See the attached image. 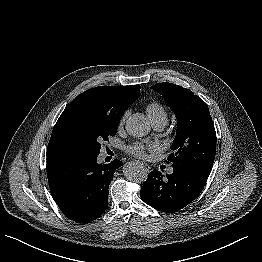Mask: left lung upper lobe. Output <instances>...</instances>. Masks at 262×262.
Listing matches in <instances>:
<instances>
[{
    "instance_id": "left-lung-upper-lobe-1",
    "label": "left lung upper lobe",
    "mask_w": 262,
    "mask_h": 262,
    "mask_svg": "<svg viewBox=\"0 0 262 262\" xmlns=\"http://www.w3.org/2000/svg\"><path fill=\"white\" fill-rule=\"evenodd\" d=\"M163 96L177 118L174 151L168 156L173 168L210 174L216 152V132L207 104L186 88L172 83L151 87Z\"/></svg>"
}]
</instances>
